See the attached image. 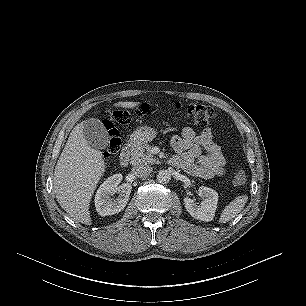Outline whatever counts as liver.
I'll use <instances>...</instances> for the list:
<instances>
[{
  "mask_svg": "<svg viewBox=\"0 0 306 306\" xmlns=\"http://www.w3.org/2000/svg\"><path fill=\"white\" fill-rule=\"evenodd\" d=\"M137 102H118L114 107L134 108ZM76 125L55 166L53 188L60 206L76 221L91 225L90 201L105 172L102 153L92 148Z\"/></svg>",
  "mask_w": 306,
  "mask_h": 306,
  "instance_id": "liver-1",
  "label": "liver"
}]
</instances>
